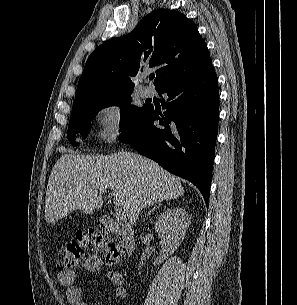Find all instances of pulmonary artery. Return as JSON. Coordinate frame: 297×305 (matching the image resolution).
<instances>
[{"mask_svg": "<svg viewBox=\"0 0 297 305\" xmlns=\"http://www.w3.org/2000/svg\"><path fill=\"white\" fill-rule=\"evenodd\" d=\"M144 77H145V76H144ZM142 95H143L144 97H150V96H152V95H153V88L150 87V86H144V87L142 88Z\"/></svg>", "mask_w": 297, "mask_h": 305, "instance_id": "e3ab8cb5", "label": "pulmonary artery"}]
</instances>
